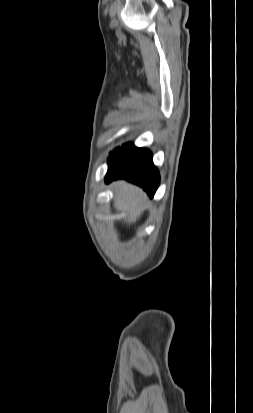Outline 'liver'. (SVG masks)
<instances>
[{
  "mask_svg": "<svg viewBox=\"0 0 253 413\" xmlns=\"http://www.w3.org/2000/svg\"><path fill=\"white\" fill-rule=\"evenodd\" d=\"M115 190L114 207L117 211L127 212L128 223L136 222L145 209V193L137 186L117 181L113 184Z\"/></svg>",
  "mask_w": 253,
  "mask_h": 413,
  "instance_id": "liver-1",
  "label": "liver"
}]
</instances>
